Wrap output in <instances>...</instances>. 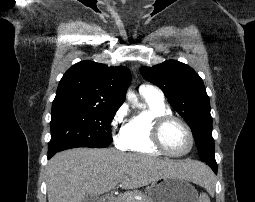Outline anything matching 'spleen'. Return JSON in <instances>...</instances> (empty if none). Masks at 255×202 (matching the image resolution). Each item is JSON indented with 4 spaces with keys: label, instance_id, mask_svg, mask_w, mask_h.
<instances>
[{
    "label": "spleen",
    "instance_id": "obj_1",
    "mask_svg": "<svg viewBox=\"0 0 255 202\" xmlns=\"http://www.w3.org/2000/svg\"><path fill=\"white\" fill-rule=\"evenodd\" d=\"M198 184L205 187L209 192H212L214 190L213 174L208 169L200 167V182ZM199 202H210V198L206 193H201Z\"/></svg>",
    "mask_w": 255,
    "mask_h": 202
}]
</instances>
